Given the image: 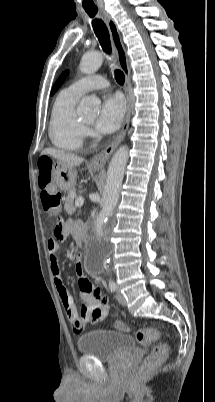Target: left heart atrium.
Segmentation results:
<instances>
[{
    "label": "left heart atrium",
    "mask_w": 215,
    "mask_h": 402,
    "mask_svg": "<svg viewBox=\"0 0 215 402\" xmlns=\"http://www.w3.org/2000/svg\"><path fill=\"white\" fill-rule=\"evenodd\" d=\"M125 103L119 95L104 97L95 126L102 133H111L117 130L123 120Z\"/></svg>",
    "instance_id": "left-heart-atrium-1"
}]
</instances>
